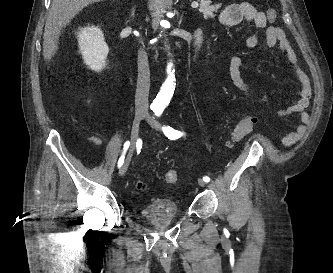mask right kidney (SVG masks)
<instances>
[{"label": "right kidney", "mask_w": 333, "mask_h": 273, "mask_svg": "<svg viewBox=\"0 0 333 273\" xmlns=\"http://www.w3.org/2000/svg\"><path fill=\"white\" fill-rule=\"evenodd\" d=\"M80 53L84 63L93 71L100 72L106 66L109 53L104 34L98 27H85L78 33Z\"/></svg>", "instance_id": "obj_1"}]
</instances>
